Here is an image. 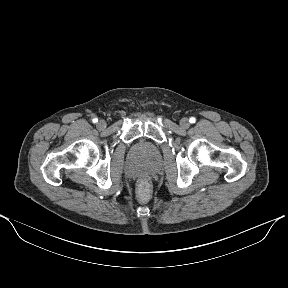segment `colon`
<instances>
[{
    "label": "colon",
    "mask_w": 288,
    "mask_h": 288,
    "mask_svg": "<svg viewBox=\"0 0 288 288\" xmlns=\"http://www.w3.org/2000/svg\"><path fill=\"white\" fill-rule=\"evenodd\" d=\"M151 187L148 181L142 180L138 185V197L141 201H147L150 197Z\"/></svg>",
    "instance_id": "obj_1"
}]
</instances>
